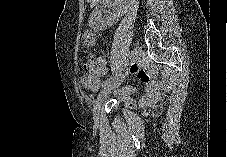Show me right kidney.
<instances>
[{"label":"right kidney","instance_id":"1","mask_svg":"<svg viewBox=\"0 0 227 157\" xmlns=\"http://www.w3.org/2000/svg\"><path fill=\"white\" fill-rule=\"evenodd\" d=\"M102 11L103 9L101 7H96L95 10H94V16H96L98 18V21L101 23V24H105V23H113L116 18H118L120 15H110V16H107L106 18H104V20H102L101 18V15H102Z\"/></svg>","mask_w":227,"mask_h":157}]
</instances>
